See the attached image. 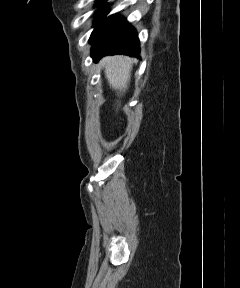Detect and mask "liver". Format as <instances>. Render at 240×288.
I'll return each mask as SVG.
<instances>
[{
  "mask_svg": "<svg viewBox=\"0 0 240 288\" xmlns=\"http://www.w3.org/2000/svg\"><path fill=\"white\" fill-rule=\"evenodd\" d=\"M134 61L126 56H113L106 57L100 62L105 69L110 87L118 93H124L127 90Z\"/></svg>",
  "mask_w": 240,
  "mask_h": 288,
  "instance_id": "obj_1",
  "label": "liver"
}]
</instances>
